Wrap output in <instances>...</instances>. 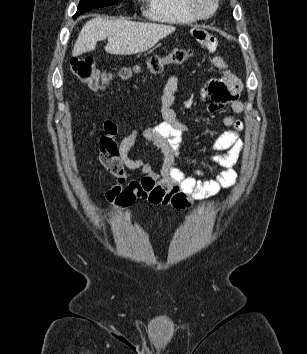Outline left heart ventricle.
<instances>
[{
	"instance_id": "b2bd125f",
	"label": "left heart ventricle",
	"mask_w": 307,
	"mask_h": 354,
	"mask_svg": "<svg viewBox=\"0 0 307 354\" xmlns=\"http://www.w3.org/2000/svg\"><path fill=\"white\" fill-rule=\"evenodd\" d=\"M200 7L203 10H208L211 6V0H199Z\"/></svg>"
}]
</instances>
